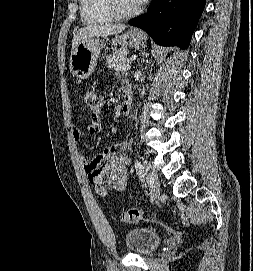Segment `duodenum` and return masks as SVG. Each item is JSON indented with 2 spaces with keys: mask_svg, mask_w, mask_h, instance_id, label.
Returning <instances> with one entry per match:
<instances>
[{
  "mask_svg": "<svg viewBox=\"0 0 253 271\" xmlns=\"http://www.w3.org/2000/svg\"><path fill=\"white\" fill-rule=\"evenodd\" d=\"M133 105V97L130 92H127L124 96V101L122 103L121 113L127 115L130 113Z\"/></svg>",
  "mask_w": 253,
  "mask_h": 271,
  "instance_id": "duodenum-1",
  "label": "duodenum"
}]
</instances>
